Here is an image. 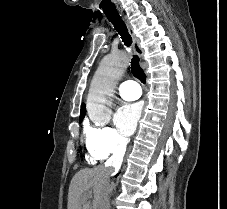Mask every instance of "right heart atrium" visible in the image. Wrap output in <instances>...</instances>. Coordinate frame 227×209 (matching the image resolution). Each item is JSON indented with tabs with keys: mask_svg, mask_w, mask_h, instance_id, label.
I'll list each match as a JSON object with an SVG mask.
<instances>
[{
	"mask_svg": "<svg viewBox=\"0 0 227 209\" xmlns=\"http://www.w3.org/2000/svg\"><path fill=\"white\" fill-rule=\"evenodd\" d=\"M88 150L102 160L123 154L129 139L112 127H88L85 132Z\"/></svg>",
	"mask_w": 227,
	"mask_h": 209,
	"instance_id": "right-heart-atrium-1",
	"label": "right heart atrium"
}]
</instances>
